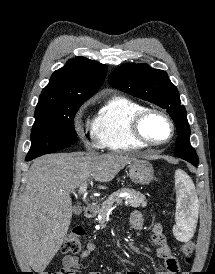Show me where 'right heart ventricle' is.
<instances>
[{
  "label": "right heart ventricle",
  "mask_w": 215,
  "mask_h": 274,
  "mask_svg": "<svg viewBox=\"0 0 215 274\" xmlns=\"http://www.w3.org/2000/svg\"><path fill=\"white\" fill-rule=\"evenodd\" d=\"M145 109L141 104L122 96L109 98L100 107L91 123V132L100 148L127 151L145 145L131 131L134 116Z\"/></svg>",
  "instance_id": "right-heart-ventricle-1"
}]
</instances>
